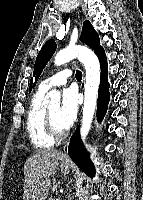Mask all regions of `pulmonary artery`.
<instances>
[{"mask_svg":"<svg viewBox=\"0 0 143 200\" xmlns=\"http://www.w3.org/2000/svg\"><path fill=\"white\" fill-rule=\"evenodd\" d=\"M72 75V71L69 69L62 70L55 75L45 79L41 82L39 88L48 91L53 87L61 86L67 83L69 77Z\"/></svg>","mask_w":143,"mask_h":200,"instance_id":"obj_1","label":"pulmonary artery"}]
</instances>
